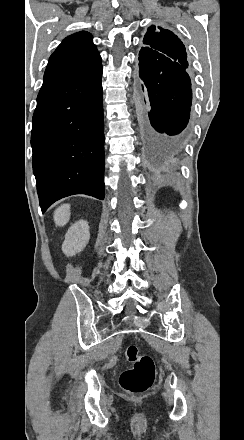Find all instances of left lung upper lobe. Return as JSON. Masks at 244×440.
<instances>
[{
    "mask_svg": "<svg viewBox=\"0 0 244 440\" xmlns=\"http://www.w3.org/2000/svg\"><path fill=\"white\" fill-rule=\"evenodd\" d=\"M139 52V60L160 65H180L188 68L187 53L181 40L171 31L152 25Z\"/></svg>",
    "mask_w": 244,
    "mask_h": 440,
    "instance_id": "left-lung-upper-lobe-1",
    "label": "left lung upper lobe"
}]
</instances>
